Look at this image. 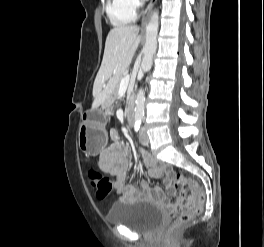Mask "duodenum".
<instances>
[{"instance_id":"1","label":"duodenum","mask_w":264,"mask_h":247,"mask_svg":"<svg viewBox=\"0 0 264 247\" xmlns=\"http://www.w3.org/2000/svg\"><path fill=\"white\" fill-rule=\"evenodd\" d=\"M127 123L129 126L134 123V113L132 108H130L127 112Z\"/></svg>"}]
</instances>
